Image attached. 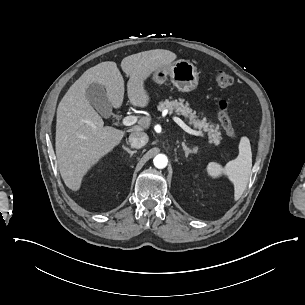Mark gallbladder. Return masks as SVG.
I'll list each match as a JSON object with an SVG mask.
<instances>
[{
    "mask_svg": "<svg viewBox=\"0 0 305 305\" xmlns=\"http://www.w3.org/2000/svg\"><path fill=\"white\" fill-rule=\"evenodd\" d=\"M88 102L101 114L104 118H109L112 114V104L108 100L105 87L98 83H91L85 92Z\"/></svg>",
    "mask_w": 305,
    "mask_h": 305,
    "instance_id": "1",
    "label": "gallbladder"
}]
</instances>
